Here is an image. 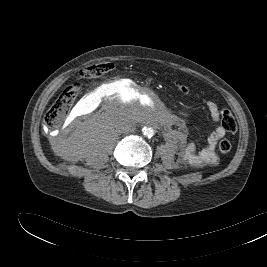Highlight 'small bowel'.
<instances>
[{
	"label": "small bowel",
	"mask_w": 267,
	"mask_h": 267,
	"mask_svg": "<svg viewBox=\"0 0 267 267\" xmlns=\"http://www.w3.org/2000/svg\"><path fill=\"white\" fill-rule=\"evenodd\" d=\"M206 106L212 120L217 123L215 129L208 136L206 146L198 148L194 144L184 145L179 153L181 159L192 166L215 165L218 162L216 154L217 143L228 131L219 123L221 121V109L219 106L212 101L207 102Z\"/></svg>",
	"instance_id": "small-bowel-1"
}]
</instances>
